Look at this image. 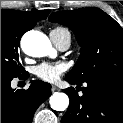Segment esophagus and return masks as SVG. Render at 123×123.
Listing matches in <instances>:
<instances>
[{"mask_svg":"<svg viewBox=\"0 0 123 123\" xmlns=\"http://www.w3.org/2000/svg\"><path fill=\"white\" fill-rule=\"evenodd\" d=\"M51 90H52V92H55V91L58 90V88H57L56 86L53 85V86L51 87Z\"/></svg>","mask_w":123,"mask_h":123,"instance_id":"obj_1","label":"esophagus"}]
</instances>
